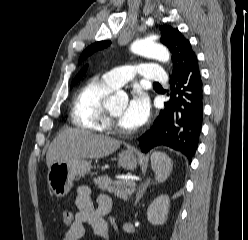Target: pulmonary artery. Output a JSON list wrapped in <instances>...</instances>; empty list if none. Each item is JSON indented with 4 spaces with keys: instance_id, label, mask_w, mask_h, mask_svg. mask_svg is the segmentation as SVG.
<instances>
[{
    "instance_id": "1",
    "label": "pulmonary artery",
    "mask_w": 248,
    "mask_h": 240,
    "mask_svg": "<svg viewBox=\"0 0 248 240\" xmlns=\"http://www.w3.org/2000/svg\"><path fill=\"white\" fill-rule=\"evenodd\" d=\"M135 74L145 81L164 83L167 81L165 72L157 64H140L135 66H123L114 68L103 74V79L111 86L118 88L131 80Z\"/></svg>"
}]
</instances>
